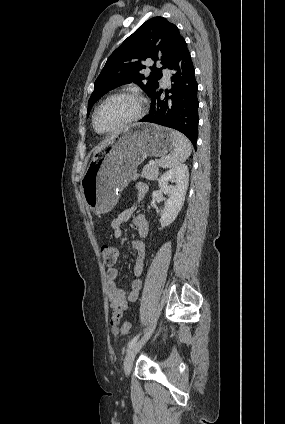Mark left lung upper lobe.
<instances>
[{"label": "left lung upper lobe", "instance_id": "obj_1", "mask_svg": "<svg viewBox=\"0 0 285 424\" xmlns=\"http://www.w3.org/2000/svg\"><path fill=\"white\" fill-rule=\"evenodd\" d=\"M181 37L178 28L163 17H153L143 23L108 58L94 83V91L88 101V113L94 103L108 91L128 83L139 85L148 95L159 86L162 69L166 68L176 44ZM146 59L160 60L162 68L151 67L145 77Z\"/></svg>", "mask_w": 285, "mask_h": 424}]
</instances>
